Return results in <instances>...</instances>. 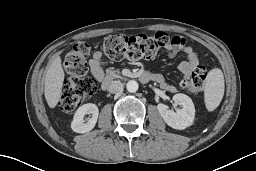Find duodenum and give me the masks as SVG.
Masks as SVG:
<instances>
[{"label":"duodenum","mask_w":256,"mask_h":171,"mask_svg":"<svg viewBox=\"0 0 256 171\" xmlns=\"http://www.w3.org/2000/svg\"><path fill=\"white\" fill-rule=\"evenodd\" d=\"M132 78H137L139 81H141L143 83H147L150 80H152V77L149 74H141V75H138V76H134ZM127 79H128L127 76H123V75H120L118 73H111L103 79L102 84H101V88H102V90H107L108 87L110 86V84L113 81H115V80H127Z\"/></svg>","instance_id":"1"}]
</instances>
